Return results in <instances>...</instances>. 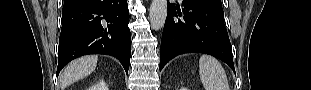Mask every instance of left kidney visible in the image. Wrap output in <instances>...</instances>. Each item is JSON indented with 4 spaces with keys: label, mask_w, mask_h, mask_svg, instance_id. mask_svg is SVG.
<instances>
[{
    "label": "left kidney",
    "mask_w": 311,
    "mask_h": 90,
    "mask_svg": "<svg viewBox=\"0 0 311 90\" xmlns=\"http://www.w3.org/2000/svg\"><path fill=\"white\" fill-rule=\"evenodd\" d=\"M181 90H186V88H181Z\"/></svg>",
    "instance_id": "1"
}]
</instances>
